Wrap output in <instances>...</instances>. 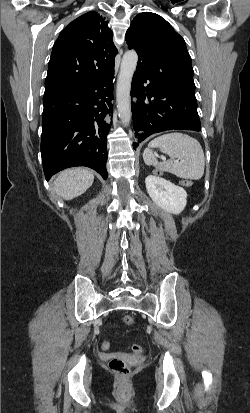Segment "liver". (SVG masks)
<instances>
[{
  "instance_id": "liver-1",
  "label": "liver",
  "mask_w": 250,
  "mask_h": 413,
  "mask_svg": "<svg viewBox=\"0 0 250 413\" xmlns=\"http://www.w3.org/2000/svg\"><path fill=\"white\" fill-rule=\"evenodd\" d=\"M94 174L86 168H69L60 172L54 182L56 194L65 200L82 195L93 184Z\"/></svg>"
}]
</instances>
